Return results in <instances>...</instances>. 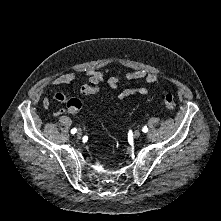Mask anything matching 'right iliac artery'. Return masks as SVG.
<instances>
[{
    "label": "right iliac artery",
    "mask_w": 221,
    "mask_h": 221,
    "mask_svg": "<svg viewBox=\"0 0 221 221\" xmlns=\"http://www.w3.org/2000/svg\"><path fill=\"white\" fill-rule=\"evenodd\" d=\"M76 131H77V129H76V128H73V129L71 130V133H72V134H75Z\"/></svg>",
    "instance_id": "1"
}]
</instances>
